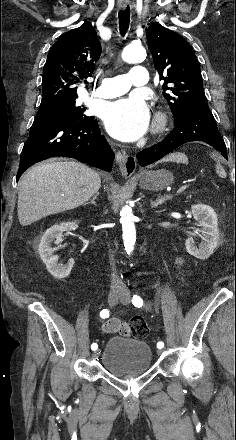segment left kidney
I'll return each instance as SVG.
<instances>
[{
  "label": "left kidney",
  "instance_id": "obj_1",
  "mask_svg": "<svg viewBox=\"0 0 236 440\" xmlns=\"http://www.w3.org/2000/svg\"><path fill=\"white\" fill-rule=\"evenodd\" d=\"M191 210L200 227L203 242L197 248L193 238H188L185 242L186 251L198 259L205 260L213 254L218 245L220 236L218 218L212 207L208 205L196 204Z\"/></svg>",
  "mask_w": 236,
  "mask_h": 440
}]
</instances>
